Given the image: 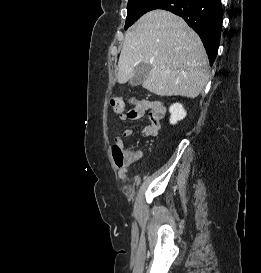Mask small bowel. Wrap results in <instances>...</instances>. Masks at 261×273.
<instances>
[{
	"instance_id": "obj_1",
	"label": "small bowel",
	"mask_w": 261,
	"mask_h": 273,
	"mask_svg": "<svg viewBox=\"0 0 261 273\" xmlns=\"http://www.w3.org/2000/svg\"><path fill=\"white\" fill-rule=\"evenodd\" d=\"M140 103L142 104L144 110L151 109V113L149 115L150 124L143 128L142 134L145 137H154L158 135L161 129V119L164 114V107L160 102L156 101L144 100L140 101ZM119 114H121V119L130 120L127 116V112H121ZM132 134L133 130L131 128H126L122 133V137L127 138L132 136ZM118 142L121 143V140H118ZM125 153L127 157V164L119 170V174L122 179L126 177L128 166L139 161L143 155L142 151L139 149H128Z\"/></svg>"
}]
</instances>
